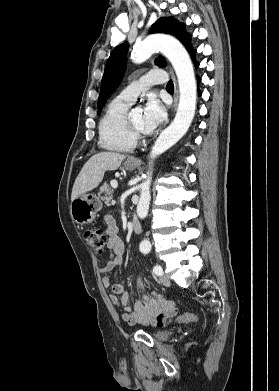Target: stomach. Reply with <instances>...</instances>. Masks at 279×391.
Wrapping results in <instances>:
<instances>
[{"label":"stomach","instance_id":"1","mask_svg":"<svg viewBox=\"0 0 279 391\" xmlns=\"http://www.w3.org/2000/svg\"><path fill=\"white\" fill-rule=\"evenodd\" d=\"M137 166L138 161L124 163V168L130 171L134 170ZM101 209L102 203L96 195L84 193L71 202L70 214L76 223L85 225L91 223L95 219L97 212Z\"/></svg>","mask_w":279,"mask_h":391}]
</instances>
